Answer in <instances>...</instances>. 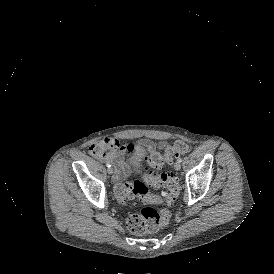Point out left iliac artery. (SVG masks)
<instances>
[{"instance_id":"44dca946","label":"left iliac artery","mask_w":274,"mask_h":274,"mask_svg":"<svg viewBox=\"0 0 274 274\" xmlns=\"http://www.w3.org/2000/svg\"><path fill=\"white\" fill-rule=\"evenodd\" d=\"M177 162L181 163V162H182V158H181V157H178V158H177Z\"/></svg>"}]
</instances>
